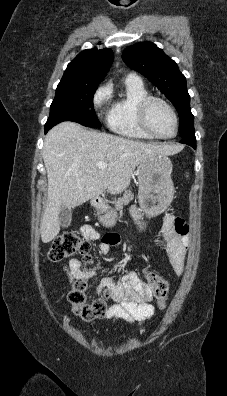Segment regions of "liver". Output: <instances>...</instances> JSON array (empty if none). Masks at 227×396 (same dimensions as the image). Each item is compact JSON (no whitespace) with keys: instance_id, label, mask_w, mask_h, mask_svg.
<instances>
[{"instance_id":"1","label":"liver","mask_w":227,"mask_h":396,"mask_svg":"<svg viewBox=\"0 0 227 396\" xmlns=\"http://www.w3.org/2000/svg\"><path fill=\"white\" fill-rule=\"evenodd\" d=\"M181 148L87 130L74 122L53 127L42 151L48 179L47 205L40 225L42 242L48 243L59 234L61 208L80 206L105 189L120 193L130 184L140 162L154 155H173ZM100 161L108 166L98 168Z\"/></svg>"}]
</instances>
